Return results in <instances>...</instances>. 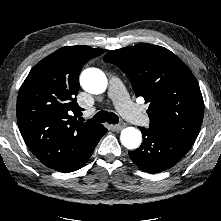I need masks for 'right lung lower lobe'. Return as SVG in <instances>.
Segmentation results:
<instances>
[{"label":"right lung lower lobe","mask_w":221,"mask_h":221,"mask_svg":"<svg viewBox=\"0 0 221 221\" xmlns=\"http://www.w3.org/2000/svg\"><path fill=\"white\" fill-rule=\"evenodd\" d=\"M107 132V129L103 127L102 133L100 138ZM100 138L93 144L91 147H89L83 154L81 160L77 162V164L73 168H68L66 172H72L75 170L80 169L89 159L91 154L93 153L94 148L96 147L97 143L99 142ZM59 172H64V171H59Z\"/></svg>","instance_id":"1"}]
</instances>
